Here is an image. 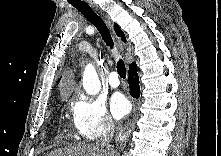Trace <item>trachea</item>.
Here are the masks:
<instances>
[{
    "mask_svg": "<svg viewBox=\"0 0 221 156\" xmlns=\"http://www.w3.org/2000/svg\"><path fill=\"white\" fill-rule=\"evenodd\" d=\"M69 2L97 28L107 46L113 48L114 43L111 34L102 18L99 17L86 2L80 0H69ZM117 71L121 78H126V67L121 59L117 62Z\"/></svg>",
    "mask_w": 221,
    "mask_h": 156,
    "instance_id": "obj_1",
    "label": "trachea"
}]
</instances>
